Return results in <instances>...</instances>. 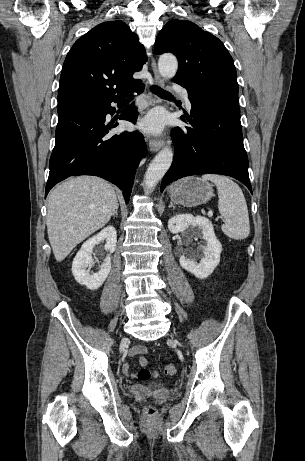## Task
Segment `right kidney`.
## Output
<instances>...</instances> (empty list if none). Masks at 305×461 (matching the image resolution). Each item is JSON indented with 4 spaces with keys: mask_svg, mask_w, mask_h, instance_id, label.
Segmentation results:
<instances>
[{
    "mask_svg": "<svg viewBox=\"0 0 305 461\" xmlns=\"http://www.w3.org/2000/svg\"><path fill=\"white\" fill-rule=\"evenodd\" d=\"M103 240H106L105 250L110 254L113 253L117 243V233L113 226H107L97 235L84 242L72 262V273L75 280L90 290H96L102 286L111 270L110 254L106 257L102 265L99 266L98 272L90 273V271L86 270V268L94 266L92 258L93 248Z\"/></svg>",
    "mask_w": 305,
    "mask_h": 461,
    "instance_id": "obj_1",
    "label": "right kidney"
}]
</instances>
